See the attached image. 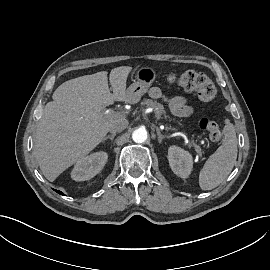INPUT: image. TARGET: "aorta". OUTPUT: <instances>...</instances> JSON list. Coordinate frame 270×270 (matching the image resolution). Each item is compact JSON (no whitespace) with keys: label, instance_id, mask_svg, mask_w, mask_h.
Returning <instances> with one entry per match:
<instances>
[{"label":"aorta","instance_id":"aorta-1","mask_svg":"<svg viewBox=\"0 0 270 270\" xmlns=\"http://www.w3.org/2000/svg\"><path fill=\"white\" fill-rule=\"evenodd\" d=\"M147 137H148V134L144 127H140L132 133V139L136 143L145 142L147 140Z\"/></svg>","mask_w":270,"mask_h":270}]
</instances>
